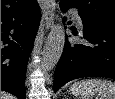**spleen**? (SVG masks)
I'll return each instance as SVG.
<instances>
[{"label":"spleen","instance_id":"spleen-1","mask_svg":"<svg viewBox=\"0 0 115 99\" xmlns=\"http://www.w3.org/2000/svg\"><path fill=\"white\" fill-rule=\"evenodd\" d=\"M72 94L81 99H92L94 95L100 99H115V83L108 80L85 79L71 87Z\"/></svg>","mask_w":115,"mask_h":99}]
</instances>
